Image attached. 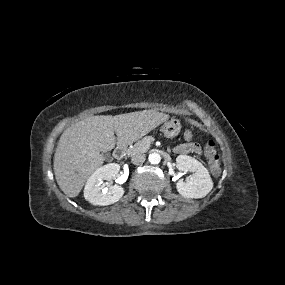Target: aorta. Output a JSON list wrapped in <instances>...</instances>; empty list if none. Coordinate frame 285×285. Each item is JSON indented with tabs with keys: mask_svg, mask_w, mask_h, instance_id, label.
<instances>
[{
	"mask_svg": "<svg viewBox=\"0 0 285 285\" xmlns=\"http://www.w3.org/2000/svg\"><path fill=\"white\" fill-rule=\"evenodd\" d=\"M148 159H149V162L151 163V164H159L160 163V161H161V156H160V154H158V153H151L150 155H149V157H148Z\"/></svg>",
	"mask_w": 285,
	"mask_h": 285,
	"instance_id": "1",
	"label": "aorta"
}]
</instances>
